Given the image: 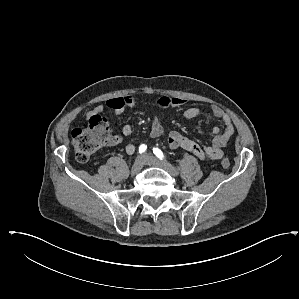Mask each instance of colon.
Listing matches in <instances>:
<instances>
[{"label": "colon", "instance_id": "obj_1", "mask_svg": "<svg viewBox=\"0 0 299 299\" xmlns=\"http://www.w3.org/2000/svg\"><path fill=\"white\" fill-rule=\"evenodd\" d=\"M112 139L107 120L101 115L91 116L86 127L72 131L71 141L76 161L87 162L100 147L111 143ZM230 164L228 158L221 160L224 168H228Z\"/></svg>", "mask_w": 299, "mask_h": 299}]
</instances>
